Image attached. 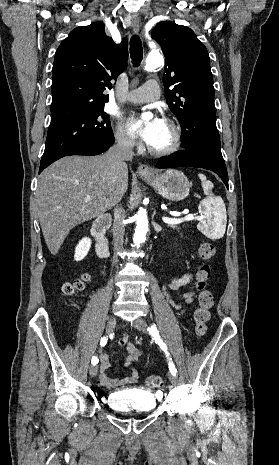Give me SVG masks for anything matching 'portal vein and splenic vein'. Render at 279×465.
I'll return each mask as SVG.
<instances>
[{"instance_id": "obj_1", "label": "portal vein and splenic vein", "mask_w": 279, "mask_h": 465, "mask_svg": "<svg viewBox=\"0 0 279 465\" xmlns=\"http://www.w3.org/2000/svg\"><path fill=\"white\" fill-rule=\"evenodd\" d=\"M91 199H92L91 195H86L85 196L86 201H89ZM196 219L199 220V219H202V217L201 216H194L193 214H187L183 218H169V217H163L162 218L163 222H165L167 224H170V225L180 224L182 222L192 221V220H196Z\"/></svg>"}]
</instances>
